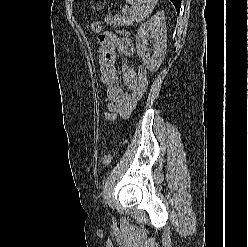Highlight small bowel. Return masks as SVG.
Returning <instances> with one entry per match:
<instances>
[{"label": "small bowel", "mask_w": 248, "mask_h": 247, "mask_svg": "<svg viewBox=\"0 0 248 247\" xmlns=\"http://www.w3.org/2000/svg\"><path fill=\"white\" fill-rule=\"evenodd\" d=\"M99 50V64L101 83L107 103V117L112 119L116 114L126 117L135 107L142 93L136 91L137 75L129 65L121 67V76L127 90H123L119 83V71L116 65L117 52L124 56L134 53V45L127 37H117L112 32H104L97 39ZM110 158L105 157V163Z\"/></svg>", "instance_id": "1"}]
</instances>
